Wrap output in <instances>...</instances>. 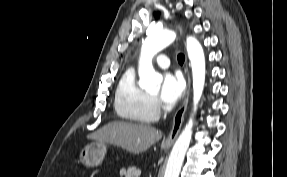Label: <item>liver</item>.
Listing matches in <instances>:
<instances>
[{"label": "liver", "instance_id": "liver-1", "mask_svg": "<svg viewBox=\"0 0 287 177\" xmlns=\"http://www.w3.org/2000/svg\"><path fill=\"white\" fill-rule=\"evenodd\" d=\"M161 137L162 132L152 126L114 121L88 135L87 138L121 147L133 154H140Z\"/></svg>", "mask_w": 287, "mask_h": 177}]
</instances>
